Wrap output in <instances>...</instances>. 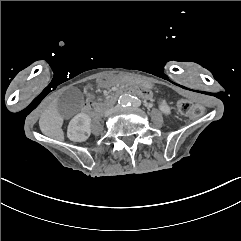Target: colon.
I'll use <instances>...</instances> for the list:
<instances>
[{"instance_id": "colon-1", "label": "colon", "mask_w": 241, "mask_h": 241, "mask_svg": "<svg viewBox=\"0 0 241 241\" xmlns=\"http://www.w3.org/2000/svg\"><path fill=\"white\" fill-rule=\"evenodd\" d=\"M179 112L186 117H201L204 114L202 105H194L186 100H181L177 104Z\"/></svg>"}]
</instances>
